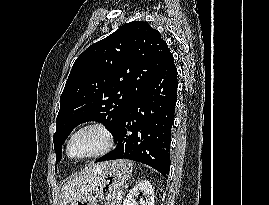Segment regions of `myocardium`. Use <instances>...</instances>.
<instances>
[{"label": "myocardium", "mask_w": 269, "mask_h": 205, "mask_svg": "<svg viewBox=\"0 0 269 205\" xmlns=\"http://www.w3.org/2000/svg\"><path fill=\"white\" fill-rule=\"evenodd\" d=\"M87 129H96L99 132H101V134L104 136L105 138V145L102 149L83 156V157H75L71 154V142L73 140V138L80 133L81 131L87 130ZM115 145V138L113 135V132L111 131V129L109 128V126L103 122V121H99V120H94V121H88L80 126H78L69 136L68 140H67V144H66V152L69 158L74 159V160H78V161H83V160H89V159H93V158H97V157H101L107 153H109L113 147Z\"/></svg>", "instance_id": "myocardium-1"}]
</instances>
